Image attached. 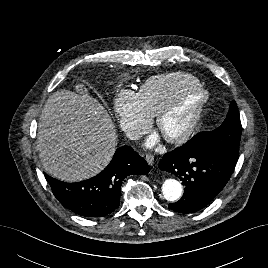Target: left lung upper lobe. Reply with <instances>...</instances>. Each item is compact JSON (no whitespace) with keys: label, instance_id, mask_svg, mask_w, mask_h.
<instances>
[{"label":"left lung upper lobe","instance_id":"left-lung-upper-lobe-1","mask_svg":"<svg viewBox=\"0 0 268 268\" xmlns=\"http://www.w3.org/2000/svg\"><path fill=\"white\" fill-rule=\"evenodd\" d=\"M241 122L236 102L230 105L225 121L210 132H200L184 144L185 147L207 152H217L238 159Z\"/></svg>","mask_w":268,"mask_h":268}]
</instances>
